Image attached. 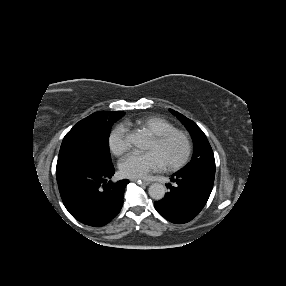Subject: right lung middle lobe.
<instances>
[{
    "mask_svg": "<svg viewBox=\"0 0 286 286\" xmlns=\"http://www.w3.org/2000/svg\"><path fill=\"white\" fill-rule=\"evenodd\" d=\"M123 115V112H108L79 121L63 139L57 170L73 164H111L109 135L112 124Z\"/></svg>",
    "mask_w": 286,
    "mask_h": 286,
    "instance_id": "dd1d6c3e",
    "label": "right lung middle lobe"
}]
</instances>
